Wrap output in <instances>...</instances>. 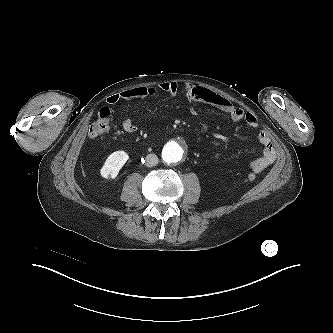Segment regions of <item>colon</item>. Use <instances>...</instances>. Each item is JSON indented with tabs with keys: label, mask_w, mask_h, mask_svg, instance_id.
<instances>
[{
	"label": "colon",
	"mask_w": 333,
	"mask_h": 333,
	"mask_svg": "<svg viewBox=\"0 0 333 333\" xmlns=\"http://www.w3.org/2000/svg\"><path fill=\"white\" fill-rule=\"evenodd\" d=\"M113 120L112 112L109 108L100 110L97 118L90 125V135L94 138L104 136L110 129ZM247 180L253 182L256 180L255 173H249Z\"/></svg>",
	"instance_id": "1"
}]
</instances>
